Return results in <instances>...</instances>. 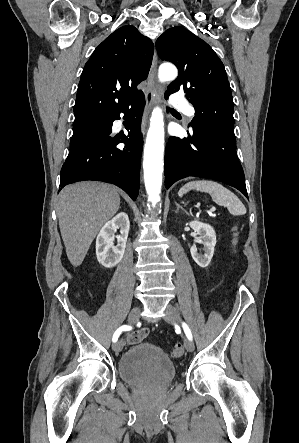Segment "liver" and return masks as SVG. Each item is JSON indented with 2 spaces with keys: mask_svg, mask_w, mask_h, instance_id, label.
I'll return each instance as SVG.
<instances>
[{
  "mask_svg": "<svg viewBox=\"0 0 299 443\" xmlns=\"http://www.w3.org/2000/svg\"><path fill=\"white\" fill-rule=\"evenodd\" d=\"M119 206L120 196L111 185L79 182L61 190L57 203L59 228L73 266L81 265L99 230Z\"/></svg>",
  "mask_w": 299,
  "mask_h": 443,
  "instance_id": "6515ba94",
  "label": "liver"
}]
</instances>
